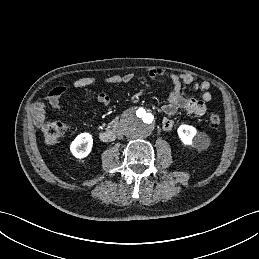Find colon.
Here are the masks:
<instances>
[{"label": "colon", "mask_w": 259, "mask_h": 259, "mask_svg": "<svg viewBox=\"0 0 259 259\" xmlns=\"http://www.w3.org/2000/svg\"><path fill=\"white\" fill-rule=\"evenodd\" d=\"M208 122L212 128H217L221 123L220 116L216 113H210ZM41 131L44 142L48 145H53L66 133L67 125L62 121H49L42 126Z\"/></svg>", "instance_id": "obj_1"}]
</instances>
